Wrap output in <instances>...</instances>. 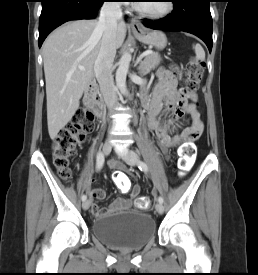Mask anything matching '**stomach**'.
I'll return each mask as SVG.
<instances>
[{
    "instance_id": "stomach-1",
    "label": "stomach",
    "mask_w": 258,
    "mask_h": 275,
    "mask_svg": "<svg viewBox=\"0 0 258 275\" xmlns=\"http://www.w3.org/2000/svg\"><path fill=\"white\" fill-rule=\"evenodd\" d=\"M133 33L140 42L153 46L157 50L164 49L167 44L166 35L162 31L143 29L141 31H134Z\"/></svg>"
}]
</instances>
